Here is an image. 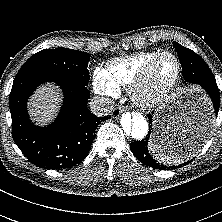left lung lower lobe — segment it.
I'll return each instance as SVG.
<instances>
[{"mask_svg":"<svg viewBox=\"0 0 222 222\" xmlns=\"http://www.w3.org/2000/svg\"><path fill=\"white\" fill-rule=\"evenodd\" d=\"M182 65V73L185 80L191 84H195L203 88L211 98L213 103V109L207 116H201L190 123L185 125L182 130L176 133V136L172 138V144L169 147L176 153H190L198 150L207 140L213 122V116H217L220 106V94L215 82L205 80V72L198 65L197 62L192 59H180ZM149 119V127H152V115L147 114ZM151 131L147 137L141 141L131 142L130 148L136 158L143 164L156 168V169H173L176 167H167L163 164H159L153 159L147 150L148 140ZM187 164V163H185ZM184 164V165H185ZM181 167V166H178Z\"/></svg>","mask_w":222,"mask_h":222,"instance_id":"left-lung-lower-lobe-1","label":"left lung lower lobe"}]
</instances>
